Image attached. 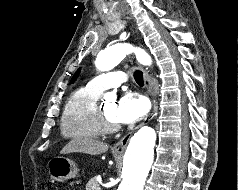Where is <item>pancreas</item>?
I'll use <instances>...</instances> for the list:
<instances>
[{"mask_svg": "<svg viewBox=\"0 0 238 190\" xmlns=\"http://www.w3.org/2000/svg\"><path fill=\"white\" fill-rule=\"evenodd\" d=\"M99 188V183L96 177H93L88 181L86 184V190H98Z\"/></svg>", "mask_w": 238, "mask_h": 190, "instance_id": "cf45deb5", "label": "pancreas"}]
</instances>
